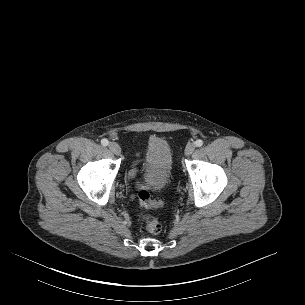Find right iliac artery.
Segmentation results:
<instances>
[{
    "mask_svg": "<svg viewBox=\"0 0 305 305\" xmlns=\"http://www.w3.org/2000/svg\"><path fill=\"white\" fill-rule=\"evenodd\" d=\"M101 144L103 145V146H107L108 144H109V142H108V140L107 139H102L101 140Z\"/></svg>",
    "mask_w": 305,
    "mask_h": 305,
    "instance_id": "1",
    "label": "right iliac artery"
}]
</instances>
